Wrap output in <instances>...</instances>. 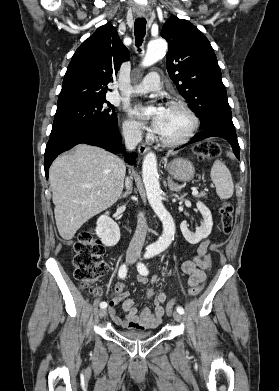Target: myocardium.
<instances>
[{"mask_svg": "<svg viewBox=\"0 0 279 391\" xmlns=\"http://www.w3.org/2000/svg\"><path fill=\"white\" fill-rule=\"evenodd\" d=\"M168 108H180L182 109L190 118L191 124L188 131L179 139H166L162 135L158 134V140L161 144L168 147L180 146L188 142L191 137L194 135L195 131L199 125V119L195 112L190 108V106L181 100H173L168 103Z\"/></svg>", "mask_w": 279, "mask_h": 391, "instance_id": "f54148a6", "label": "myocardium"}]
</instances>
